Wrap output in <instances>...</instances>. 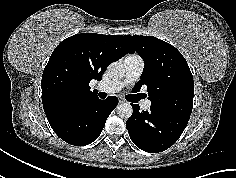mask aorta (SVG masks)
I'll list each match as a JSON object with an SVG mask.
<instances>
[{
  "label": "aorta",
  "mask_w": 236,
  "mask_h": 178,
  "mask_svg": "<svg viewBox=\"0 0 236 178\" xmlns=\"http://www.w3.org/2000/svg\"><path fill=\"white\" fill-rule=\"evenodd\" d=\"M108 72L113 78H122L124 76V66L121 62H112L108 66ZM133 108L130 103L125 102L117 106V114L119 117L128 119L132 116Z\"/></svg>",
  "instance_id": "obj_1"
}]
</instances>
